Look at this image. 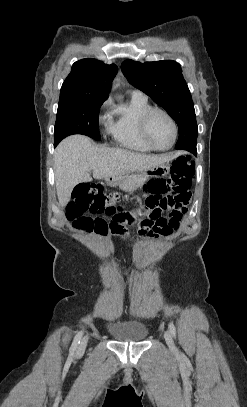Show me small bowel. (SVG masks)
Instances as JSON below:
<instances>
[{
	"label": "small bowel",
	"mask_w": 247,
	"mask_h": 407,
	"mask_svg": "<svg viewBox=\"0 0 247 407\" xmlns=\"http://www.w3.org/2000/svg\"><path fill=\"white\" fill-rule=\"evenodd\" d=\"M187 204H175L168 199L150 195L136 212H122L115 216L111 233L122 236L120 223H137L139 233L148 237H170L180 227Z\"/></svg>",
	"instance_id": "1"
}]
</instances>
